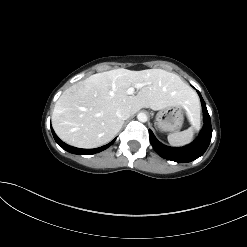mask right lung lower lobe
I'll list each match as a JSON object with an SVG mask.
<instances>
[{
	"mask_svg": "<svg viewBox=\"0 0 247 247\" xmlns=\"http://www.w3.org/2000/svg\"><path fill=\"white\" fill-rule=\"evenodd\" d=\"M52 130V134H53V137L55 139V141L66 151L70 152V153H74V154H95V153H98L100 151H103L105 150L106 148H108L114 141L112 140L110 143H108L107 145H104L102 147H99V148H95V149H80V148H76V147H72V146H69L67 144H65L64 142H62L58 137L57 135L55 134V132L53 131V129L51 128Z\"/></svg>",
	"mask_w": 247,
	"mask_h": 247,
	"instance_id": "98d812e1",
	"label": "right lung lower lobe"
}]
</instances>
